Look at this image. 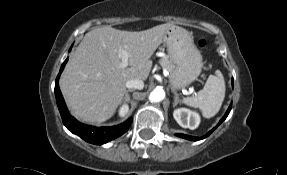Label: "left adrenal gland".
I'll list each match as a JSON object with an SVG mask.
<instances>
[{
	"mask_svg": "<svg viewBox=\"0 0 287 175\" xmlns=\"http://www.w3.org/2000/svg\"><path fill=\"white\" fill-rule=\"evenodd\" d=\"M173 93H174L173 106L175 107L180 102V99H179V96H178V94H177V92L175 90H173Z\"/></svg>",
	"mask_w": 287,
	"mask_h": 175,
	"instance_id": "obj_1",
	"label": "left adrenal gland"
}]
</instances>
